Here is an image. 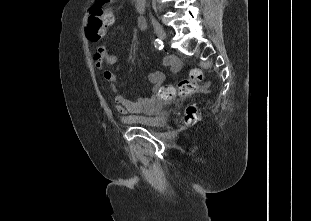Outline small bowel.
<instances>
[{
  "mask_svg": "<svg viewBox=\"0 0 311 221\" xmlns=\"http://www.w3.org/2000/svg\"><path fill=\"white\" fill-rule=\"evenodd\" d=\"M139 28L144 30V23L143 26ZM94 63L97 69L102 70L105 64L115 65L117 63V57L111 54L106 46H99L94 54ZM120 76V73H116L111 70H103V78L110 84L114 94V108L116 112L121 115L144 112L147 108L150 98L140 97L137 100L127 99L117 87V82ZM164 79L165 75L162 71H155L149 76L150 83L154 86V88L160 87Z\"/></svg>",
  "mask_w": 311,
  "mask_h": 221,
  "instance_id": "1",
  "label": "small bowel"
}]
</instances>
